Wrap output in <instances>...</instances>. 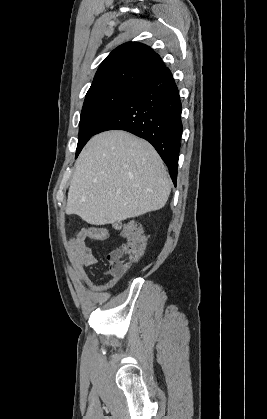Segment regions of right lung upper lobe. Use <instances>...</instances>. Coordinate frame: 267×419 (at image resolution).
Returning a JSON list of instances; mask_svg holds the SVG:
<instances>
[{
    "mask_svg": "<svg viewBox=\"0 0 267 419\" xmlns=\"http://www.w3.org/2000/svg\"><path fill=\"white\" fill-rule=\"evenodd\" d=\"M163 68L160 56L147 45L122 44L100 64L86 97L110 90L136 89Z\"/></svg>",
    "mask_w": 267,
    "mask_h": 419,
    "instance_id": "right-lung-upper-lobe-1",
    "label": "right lung upper lobe"
}]
</instances>
